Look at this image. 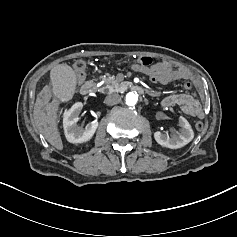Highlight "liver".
<instances>
[{"instance_id": "obj_1", "label": "liver", "mask_w": 237, "mask_h": 237, "mask_svg": "<svg viewBox=\"0 0 237 237\" xmlns=\"http://www.w3.org/2000/svg\"><path fill=\"white\" fill-rule=\"evenodd\" d=\"M49 93V89L44 91ZM47 103L41 98H37L34 110V119L37 130L44 135V138L56 149L62 150L63 143L58 132L57 123L54 117L49 116L42 108ZM55 109V105H52Z\"/></svg>"}]
</instances>
